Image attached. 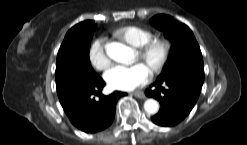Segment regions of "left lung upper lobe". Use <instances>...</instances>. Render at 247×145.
<instances>
[{
	"label": "left lung upper lobe",
	"instance_id": "1",
	"mask_svg": "<svg viewBox=\"0 0 247 145\" xmlns=\"http://www.w3.org/2000/svg\"><path fill=\"white\" fill-rule=\"evenodd\" d=\"M152 23L164 31L173 44L170 63L161 75H168L180 69L204 71L200 47L187 25L176 24L171 16L164 14L153 17Z\"/></svg>",
	"mask_w": 247,
	"mask_h": 145
}]
</instances>
